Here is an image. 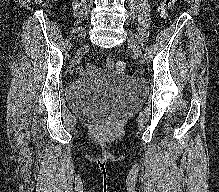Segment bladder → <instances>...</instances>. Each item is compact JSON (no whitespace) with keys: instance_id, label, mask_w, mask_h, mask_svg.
I'll return each instance as SVG.
<instances>
[{"instance_id":"1","label":"bladder","mask_w":219,"mask_h":192,"mask_svg":"<svg viewBox=\"0 0 219 192\" xmlns=\"http://www.w3.org/2000/svg\"><path fill=\"white\" fill-rule=\"evenodd\" d=\"M146 86L113 71L83 76L66 88L69 108L88 120H107L140 105Z\"/></svg>"}]
</instances>
